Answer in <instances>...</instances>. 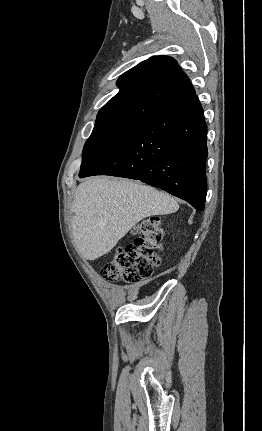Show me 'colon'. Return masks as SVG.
<instances>
[{
    "label": "colon",
    "instance_id": "colon-1",
    "mask_svg": "<svg viewBox=\"0 0 262 431\" xmlns=\"http://www.w3.org/2000/svg\"><path fill=\"white\" fill-rule=\"evenodd\" d=\"M163 230L158 217L144 220L132 243L118 249L103 266L101 275L110 281L135 283L149 278L161 263L159 254Z\"/></svg>",
    "mask_w": 262,
    "mask_h": 431
}]
</instances>
